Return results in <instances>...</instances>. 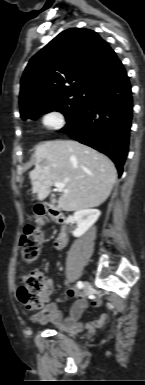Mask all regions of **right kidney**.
<instances>
[{"instance_id": "1", "label": "right kidney", "mask_w": 145, "mask_h": 385, "mask_svg": "<svg viewBox=\"0 0 145 385\" xmlns=\"http://www.w3.org/2000/svg\"><path fill=\"white\" fill-rule=\"evenodd\" d=\"M100 211L97 209H83L74 213V221L77 223V228L73 231L74 237H81L90 227L98 220Z\"/></svg>"}]
</instances>
